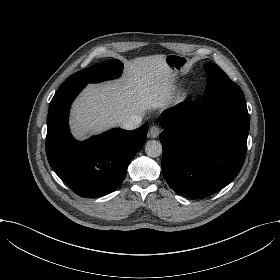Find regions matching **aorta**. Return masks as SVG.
Returning <instances> with one entry per match:
<instances>
[{"mask_svg": "<svg viewBox=\"0 0 280 280\" xmlns=\"http://www.w3.org/2000/svg\"><path fill=\"white\" fill-rule=\"evenodd\" d=\"M145 152L149 157H159L162 154V145L157 140H149L145 145Z\"/></svg>", "mask_w": 280, "mask_h": 280, "instance_id": "762f6f07", "label": "aorta"}]
</instances>
